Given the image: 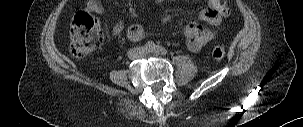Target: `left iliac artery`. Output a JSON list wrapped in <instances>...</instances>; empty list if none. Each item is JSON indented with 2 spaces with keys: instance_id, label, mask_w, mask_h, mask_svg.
I'll list each match as a JSON object with an SVG mask.
<instances>
[{
  "instance_id": "obj_1",
  "label": "left iliac artery",
  "mask_w": 303,
  "mask_h": 127,
  "mask_svg": "<svg viewBox=\"0 0 303 127\" xmlns=\"http://www.w3.org/2000/svg\"><path fill=\"white\" fill-rule=\"evenodd\" d=\"M147 46L149 47L150 52H155L160 55H166L168 53L167 49L162 46L156 45L154 42H148Z\"/></svg>"
}]
</instances>
